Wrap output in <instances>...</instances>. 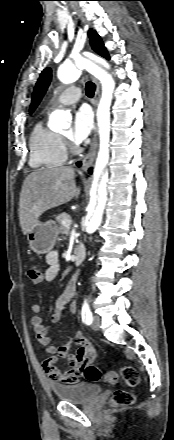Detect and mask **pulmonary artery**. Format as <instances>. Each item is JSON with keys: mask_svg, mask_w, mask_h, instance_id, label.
Here are the masks:
<instances>
[{"mask_svg": "<svg viewBox=\"0 0 174 440\" xmlns=\"http://www.w3.org/2000/svg\"><path fill=\"white\" fill-rule=\"evenodd\" d=\"M82 94V90L79 87H70L61 93L57 99L56 104L58 105H69L77 102Z\"/></svg>", "mask_w": 174, "mask_h": 440, "instance_id": "e3ab8cb5", "label": "pulmonary artery"}]
</instances>
